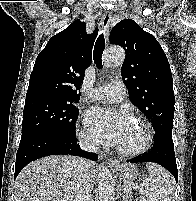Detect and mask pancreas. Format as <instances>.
Here are the masks:
<instances>
[{
	"label": "pancreas",
	"instance_id": "cf45deb5",
	"mask_svg": "<svg viewBox=\"0 0 196 201\" xmlns=\"http://www.w3.org/2000/svg\"><path fill=\"white\" fill-rule=\"evenodd\" d=\"M123 197H124L123 201H131V189L130 188H127L125 190Z\"/></svg>",
	"mask_w": 196,
	"mask_h": 201
}]
</instances>
